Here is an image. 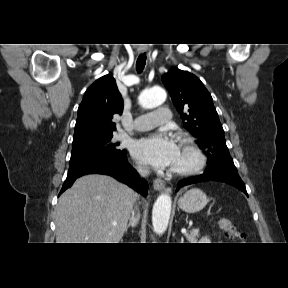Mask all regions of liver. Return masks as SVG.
Listing matches in <instances>:
<instances>
[{"instance_id": "1", "label": "liver", "mask_w": 288, "mask_h": 288, "mask_svg": "<svg viewBox=\"0 0 288 288\" xmlns=\"http://www.w3.org/2000/svg\"><path fill=\"white\" fill-rule=\"evenodd\" d=\"M136 200L133 189L112 177L78 178L55 209L57 243H119Z\"/></svg>"}]
</instances>
